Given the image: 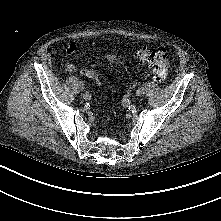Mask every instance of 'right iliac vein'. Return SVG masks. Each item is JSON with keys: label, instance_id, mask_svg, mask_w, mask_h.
Here are the masks:
<instances>
[{"label": "right iliac vein", "instance_id": "obj_1", "mask_svg": "<svg viewBox=\"0 0 221 221\" xmlns=\"http://www.w3.org/2000/svg\"><path fill=\"white\" fill-rule=\"evenodd\" d=\"M79 88H80V90L84 89V83L82 81L79 82Z\"/></svg>", "mask_w": 221, "mask_h": 221}]
</instances>
